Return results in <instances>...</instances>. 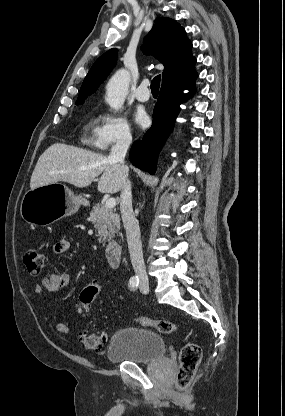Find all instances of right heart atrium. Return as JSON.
<instances>
[{"mask_svg": "<svg viewBox=\"0 0 285 416\" xmlns=\"http://www.w3.org/2000/svg\"><path fill=\"white\" fill-rule=\"evenodd\" d=\"M130 139V127L127 121L104 109L95 117L86 142L98 151H106L110 147L123 145Z\"/></svg>", "mask_w": 285, "mask_h": 416, "instance_id": "d8ad5b80", "label": "right heart atrium"}]
</instances>
